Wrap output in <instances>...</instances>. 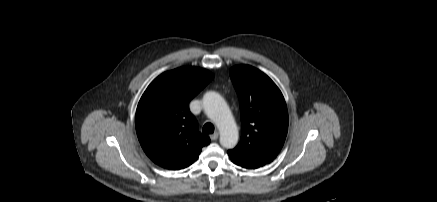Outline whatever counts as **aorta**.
I'll return each instance as SVG.
<instances>
[{"label":"aorta","instance_id":"1","mask_svg":"<svg viewBox=\"0 0 437 202\" xmlns=\"http://www.w3.org/2000/svg\"><path fill=\"white\" fill-rule=\"evenodd\" d=\"M203 108L219 129L220 144L227 149L234 148L238 142V129L223 97L214 91L207 92L203 97Z\"/></svg>","mask_w":437,"mask_h":202}]
</instances>
